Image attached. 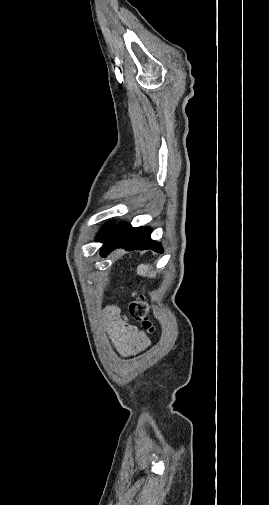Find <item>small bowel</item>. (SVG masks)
Masks as SVG:
<instances>
[{"label":"small bowel","mask_w":269,"mask_h":505,"mask_svg":"<svg viewBox=\"0 0 269 505\" xmlns=\"http://www.w3.org/2000/svg\"><path fill=\"white\" fill-rule=\"evenodd\" d=\"M104 315L108 333L122 355H134L147 348V336L131 324L117 306H108Z\"/></svg>","instance_id":"small-bowel-1"}]
</instances>
